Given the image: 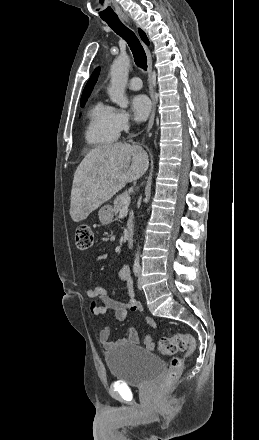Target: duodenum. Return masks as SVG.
Returning <instances> with one entry per match:
<instances>
[{"label":"duodenum","instance_id":"410a0bca","mask_svg":"<svg viewBox=\"0 0 259 440\" xmlns=\"http://www.w3.org/2000/svg\"><path fill=\"white\" fill-rule=\"evenodd\" d=\"M133 230L129 229L126 235V242L128 246H132L133 244Z\"/></svg>","mask_w":259,"mask_h":440}]
</instances>
